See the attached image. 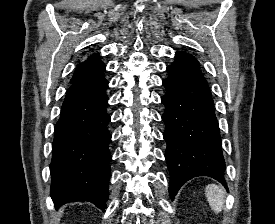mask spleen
Returning a JSON list of instances; mask_svg holds the SVG:
<instances>
[{"instance_id": "spleen-1", "label": "spleen", "mask_w": 275, "mask_h": 224, "mask_svg": "<svg viewBox=\"0 0 275 224\" xmlns=\"http://www.w3.org/2000/svg\"><path fill=\"white\" fill-rule=\"evenodd\" d=\"M205 194L211 209L220 213L225 203V191L222 187L210 184L205 189Z\"/></svg>"}]
</instances>
